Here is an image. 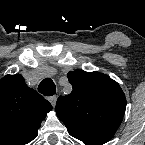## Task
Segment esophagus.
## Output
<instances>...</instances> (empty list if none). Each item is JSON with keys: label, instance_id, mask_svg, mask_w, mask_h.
I'll list each match as a JSON object with an SVG mask.
<instances>
[{"label": "esophagus", "instance_id": "1", "mask_svg": "<svg viewBox=\"0 0 145 145\" xmlns=\"http://www.w3.org/2000/svg\"><path fill=\"white\" fill-rule=\"evenodd\" d=\"M49 101H50L51 105L54 108L55 105H56L57 97L55 95L54 96H51V97H49Z\"/></svg>", "mask_w": 145, "mask_h": 145}]
</instances>
